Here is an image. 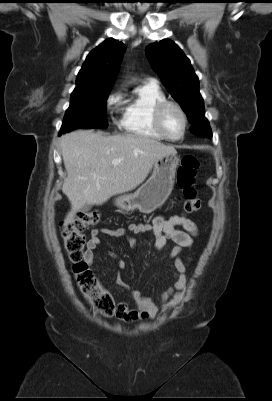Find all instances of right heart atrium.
Masks as SVG:
<instances>
[{
	"label": "right heart atrium",
	"instance_id": "obj_1",
	"mask_svg": "<svg viewBox=\"0 0 272 401\" xmlns=\"http://www.w3.org/2000/svg\"><path fill=\"white\" fill-rule=\"evenodd\" d=\"M122 92L120 90H115L111 92L106 99V109L113 116L117 111L120 102L122 101Z\"/></svg>",
	"mask_w": 272,
	"mask_h": 401
}]
</instances>
